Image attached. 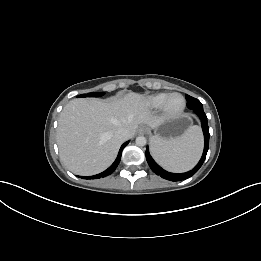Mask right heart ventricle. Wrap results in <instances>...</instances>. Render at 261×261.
<instances>
[{"mask_svg": "<svg viewBox=\"0 0 261 261\" xmlns=\"http://www.w3.org/2000/svg\"><path fill=\"white\" fill-rule=\"evenodd\" d=\"M167 96V93L150 95L145 99V105L150 109H160Z\"/></svg>", "mask_w": 261, "mask_h": 261, "instance_id": "e07e8e85", "label": "right heart ventricle"}]
</instances>
